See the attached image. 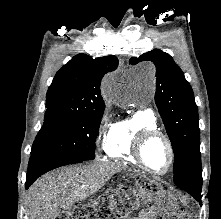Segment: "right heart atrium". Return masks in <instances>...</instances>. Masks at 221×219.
<instances>
[{"label":"right heart atrium","instance_id":"d8ad5b80","mask_svg":"<svg viewBox=\"0 0 221 219\" xmlns=\"http://www.w3.org/2000/svg\"><path fill=\"white\" fill-rule=\"evenodd\" d=\"M112 123L108 119V114H106L102 120L99 132H98V141L103 145L106 144L108 132L110 130Z\"/></svg>","mask_w":221,"mask_h":219}]
</instances>
